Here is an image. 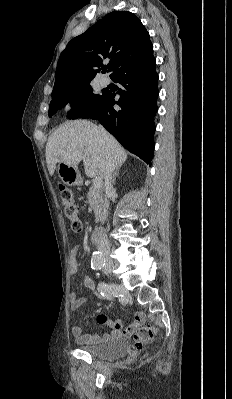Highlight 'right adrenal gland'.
<instances>
[{"label": "right adrenal gland", "instance_id": "right-adrenal-gland-1", "mask_svg": "<svg viewBox=\"0 0 232 399\" xmlns=\"http://www.w3.org/2000/svg\"><path fill=\"white\" fill-rule=\"evenodd\" d=\"M121 166H118V168H116V172H114L113 174V178H112V184H115V180L116 178H118L119 176V170H120Z\"/></svg>", "mask_w": 232, "mask_h": 399}]
</instances>
